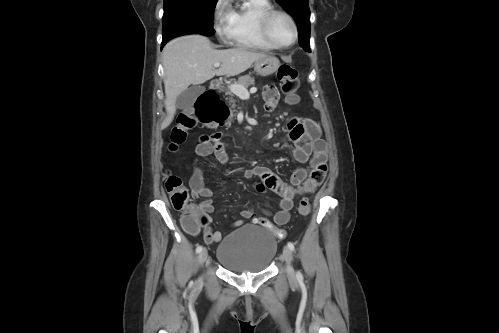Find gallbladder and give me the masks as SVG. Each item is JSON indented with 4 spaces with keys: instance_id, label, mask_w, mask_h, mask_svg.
<instances>
[{
    "instance_id": "gallbladder-1",
    "label": "gallbladder",
    "mask_w": 499,
    "mask_h": 333,
    "mask_svg": "<svg viewBox=\"0 0 499 333\" xmlns=\"http://www.w3.org/2000/svg\"><path fill=\"white\" fill-rule=\"evenodd\" d=\"M205 91L203 86H192L183 91L176 99L175 105L179 109H191L199 95Z\"/></svg>"
}]
</instances>
